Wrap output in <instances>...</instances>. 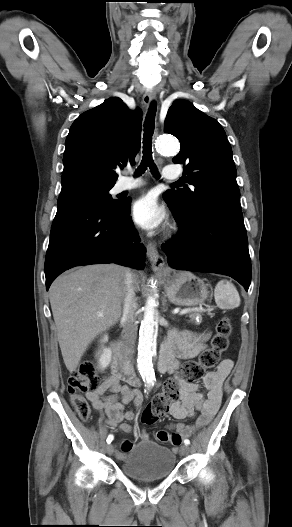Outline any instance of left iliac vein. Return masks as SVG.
I'll return each instance as SVG.
<instances>
[{"instance_id": "1", "label": "left iliac vein", "mask_w": 292, "mask_h": 527, "mask_svg": "<svg viewBox=\"0 0 292 527\" xmlns=\"http://www.w3.org/2000/svg\"><path fill=\"white\" fill-rule=\"evenodd\" d=\"M189 453V447L188 445H182L180 448V454L185 456Z\"/></svg>"}]
</instances>
